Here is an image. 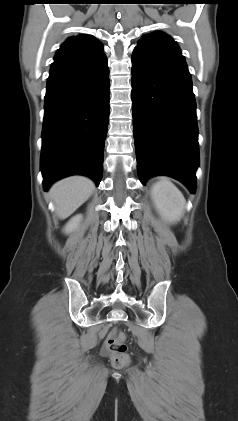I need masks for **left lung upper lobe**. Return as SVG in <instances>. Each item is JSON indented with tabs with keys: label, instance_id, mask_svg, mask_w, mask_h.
I'll return each mask as SVG.
<instances>
[{
	"label": "left lung upper lobe",
	"instance_id": "left-lung-upper-lobe-1",
	"mask_svg": "<svg viewBox=\"0 0 238 421\" xmlns=\"http://www.w3.org/2000/svg\"><path fill=\"white\" fill-rule=\"evenodd\" d=\"M135 49L148 53H180L177 43L163 32H153L142 37Z\"/></svg>",
	"mask_w": 238,
	"mask_h": 421
}]
</instances>
